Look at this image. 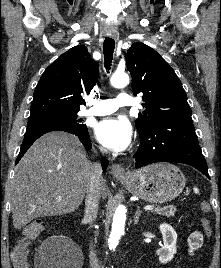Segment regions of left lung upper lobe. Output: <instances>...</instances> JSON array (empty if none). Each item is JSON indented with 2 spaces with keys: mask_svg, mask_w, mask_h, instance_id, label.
Instances as JSON below:
<instances>
[{
  "mask_svg": "<svg viewBox=\"0 0 221 268\" xmlns=\"http://www.w3.org/2000/svg\"><path fill=\"white\" fill-rule=\"evenodd\" d=\"M127 69L132 77L133 94L141 93L146 108L136 119L139 135L146 134L162 118L190 119L187 95L174 70L144 43H135L127 51Z\"/></svg>",
  "mask_w": 221,
  "mask_h": 268,
  "instance_id": "left-lung-upper-lobe-1",
  "label": "left lung upper lobe"
}]
</instances>
